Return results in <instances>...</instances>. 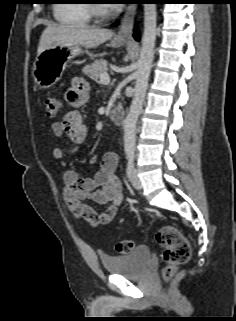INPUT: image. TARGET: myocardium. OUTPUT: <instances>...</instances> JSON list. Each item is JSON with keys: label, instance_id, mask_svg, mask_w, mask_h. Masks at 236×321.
Returning <instances> with one entry per match:
<instances>
[{"label": "myocardium", "instance_id": "f54148a6", "mask_svg": "<svg viewBox=\"0 0 236 321\" xmlns=\"http://www.w3.org/2000/svg\"><path fill=\"white\" fill-rule=\"evenodd\" d=\"M102 4L104 3H101L97 0H89L87 6L91 17L98 22L103 21L114 14L111 6Z\"/></svg>", "mask_w": 236, "mask_h": 321}]
</instances>
